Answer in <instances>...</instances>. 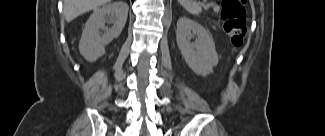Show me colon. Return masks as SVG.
<instances>
[{
    "label": "colon",
    "instance_id": "1",
    "mask_svg": "<svg viewBox=\"0 0 325 136\" xmlns=\"http://www.w3.org/2000/svg\"><path fill=\"white\" fill-rule=\"evenodd\" d=\"M245 4L246 0H222L223 29L236 47L244 44L247 34Z\"/></svg>",
    "mask_w": 325,
    "mask_h": 136
}]
</instances>
